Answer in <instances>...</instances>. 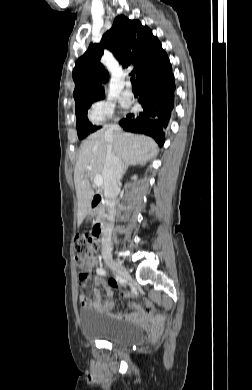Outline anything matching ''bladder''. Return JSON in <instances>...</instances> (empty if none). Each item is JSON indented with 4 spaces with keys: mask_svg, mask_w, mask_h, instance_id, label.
Listing matches in <instances>:
<instances>
[{
    "mask_svg": "<svg viewBox=\"0 0 252 390\" xmlns=\"http://www.w3.org/2000/svg\"><path fill=\"white\" fill-rule=\"evenodd\" d=\"M83 335L122 347H131L144 339V329L133 322L121 321L103 315L80 314Z\"/></svg>",
    "mask_w": 252,
    "mask_h": 390,
    "instance_id": "obj_1",
    "label": "bladder"
}]
</instances>
